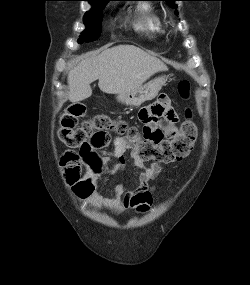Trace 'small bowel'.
I'll use <instances>...</instances> for the list:
<instances>
[{
    "mask_svg": "<svg viewBox=\"0 0 250 285\" xmlns=\"http://www.w3.org/2000/svg\"><path fill=\"white\" fill-rule=\"evenodd\" d=\"M139 119L144 124L142 125L144 132V136L141 137L142 141L165 144V141H170V138L177 133L175 127L177 115L165 98L141 109ZM113 145L114 155L119 161L116 165H110L107 158H101L96 154V151L105 145L90 143L87 147L80 149V157L88 170L81 179L74 183L73 191L92 206L108 209L114 214H121L130 209L141 213L148 211L153 203V187L150 181L162 172V163L155 162L146 166L137 156L135 146L125 138L115 137ZM129 149H132L131 157L135 165L142 169L138 187L134 191H127L123 184H118L111 197L102 196L96 191L98 176L103 172L115 173L123 170L125 152Z\"/></svg>",
    "mask_w": 250,
    "mask_h": 285,
    "instance_id": "small-bowel-1",
    "label": "small bowel"
}]
</instances>
